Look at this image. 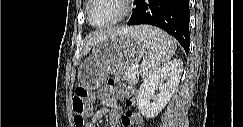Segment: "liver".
Here are the masks:
<instances>
[{
	"label": "liver",
	"mask_w": 243,
	"mask_h": 127,
	"mask_svg": "<svg viewBox=\"0 0 243 127\" xmlns=\"http://www.w3.org/2000/svg\"><path fill=\"white\" fill-rule=\"evenodd\" d=\"M138 28L140 27H135V28L126 27V28H117V29L101 30V31L93 32L85 40L83 53L87 54L90 51L91 47L101 40H104L108 37H113L120 33H133Z\"/></svg>",
	"instance_id": "liver-1"
}]
</instances>
